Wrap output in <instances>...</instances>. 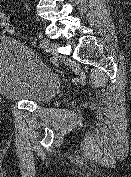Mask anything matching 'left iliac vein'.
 <instances>
[{
	"label": "left iliac vein",
	"mask_w": 131,
	"mask_h": 177,
	"mask_svg": "<svg viewBox=\"0 0 131 177\" xmlns=\"http://www.w3.org/2000/svg\"><path fill=\"white\" fill-rule=\"evenodd\" d=\"M58 49H59V44H57V43H50L49 46H48V51L54 57H58Z\"/></svg>",
	"instance_id": "4c4485c4"
}]
</instances>
